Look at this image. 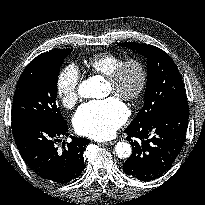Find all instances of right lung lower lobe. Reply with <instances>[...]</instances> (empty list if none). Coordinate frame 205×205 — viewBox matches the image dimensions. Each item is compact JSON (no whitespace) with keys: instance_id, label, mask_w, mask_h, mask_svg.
Instances as JSON below:
<instances>
[{"instance_id":"98d812e1","label":"right lung lower lobe","mask_w":205,"mask_h":205,"mask_svg":"<svg viewBox=\"0 0 205 205\" xmlns=\"http://www.w3.org/2000/svg\"><path fill=\"white\" fill-rule=\"evenodd\" d=\"M66 122L52 125L36 119L12 121V133L21 157L29 168L46 181L63 184L79 177L85 168L83 151L90 143L86 138L72 137L61 151L58 138L69 136Z\"/></svg>"}]
</instances>
